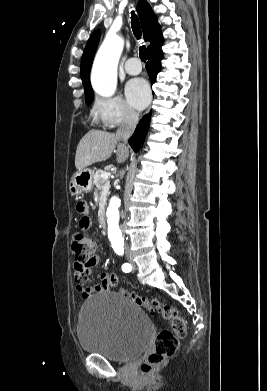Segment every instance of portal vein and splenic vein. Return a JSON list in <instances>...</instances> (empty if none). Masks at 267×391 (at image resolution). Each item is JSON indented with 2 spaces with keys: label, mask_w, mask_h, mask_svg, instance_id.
<instances>
[{
  "label": "portal vein and splenic vein",
  "mask_w": 267,
  "mask_h": 391,
  "mask_svg": "<svg viewBox=\"0 0 267 391\" xmlns=\"http://www.w3.org/2000/svg\"><path fill=\"white\" fill-rule=\"evenodd\" d=\"M110 173L109 172H105V173H103L102 175H101V177L103 178V179H108L109 177H110Z\"/></svg>",
  "instance_id": "obj_1"
}]
</instances>
